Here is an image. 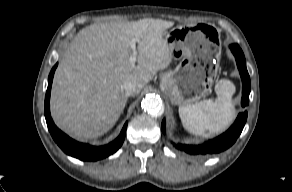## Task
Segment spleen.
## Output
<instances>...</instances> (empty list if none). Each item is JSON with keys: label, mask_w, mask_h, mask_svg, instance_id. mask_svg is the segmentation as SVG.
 Segmentation results:
<instances>
[{"label": "spleen", "mask_w": 292, "mask_h": 192, "mask_svg": "<svg viewBox=\"0 0 292 192\" xmlns=\"http://www.w3.org/2000/svg\"><path fill=\"white\" fill-rule=\"evenodd\" d=\"M235 85L221 79L215 85L217 98L179 107V116L183 127L190 133L207 137L212 133H220L233 121L235 109L232 96Z\"/></svg>", "instance_id": "3e777b00"}]
</instances>
